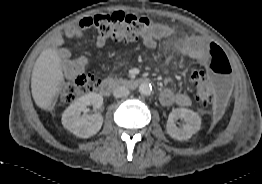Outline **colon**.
<instances>
[{"label":"colon","mask_w":262,"mask_h":184,"mask_svg":"<svg viewBox=\"0 0 262 184\" xmlns=\"http://www.w3.org/2000/svg\"><path fill=\"white\" fill-rule=\"evenodd\" d=\"M151 19L144 16L114 12L84 17L79 21L80 28L94 27L106 39L115 41H135L154 28ZM208 69L212 72L207 79L202 70L192 73L191 81L202 109L213 108L214 117L220 118L228 105L231 84V65L224 51L216 44H208ZM100 85L92 74H80L64 85L60 99L64 103H72L81 96L93 91Z\"/></svg>","instance_id":"5ec220e1"}]
</instances>
